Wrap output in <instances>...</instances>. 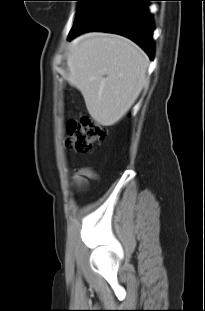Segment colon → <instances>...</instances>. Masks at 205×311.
<instances>
[{
    "mask_svg": "<svg viewBox=\"0 0 205 311\" xmlns=\"http://www.w3.org/2000/svg\"><path fill=\"white\" fill-rule=\"evenodd\" d=\"M67 145L79 153H89L93 144L106 137V129L90 117L83 115L67 123Z\"/></svg>",
    "mask_w": 205,
    "mask_h": 311,
    "instance_id": "colon-1",
    "label": "colon"
}]
</instances>
